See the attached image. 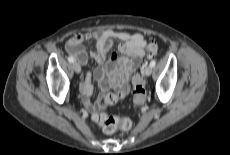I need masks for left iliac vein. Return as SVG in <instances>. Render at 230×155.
Here are the masks:
<instances>
[{
	"label": "left iliac vein",
	"instance_id": "left-iliac-vein-1",
	"mask_svg": "<svg viewBox=\"0 0 230 155\" xmlns=\"http://www.w3.org/2000/svg\"><path fill=\"white\" fill-rule=\"evenodd\" d=\"M152 73V67L151 66H146L145 69H144V74L146 76H150Z\"/></svg>",
	"mask_w": 230,
	"mask_h": 155
}]
</instances>
